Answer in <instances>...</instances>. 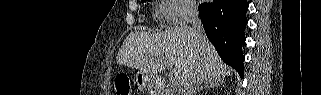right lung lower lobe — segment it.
<instances>
[{
	"mask_svg": "<svg viewBox=\"0 0 321 95\" xmlns=\"http://www.w3.org/2000/svg\"><path fill=\"white\" fill-rule=\"evenodd\" d=\"M247 9V0H214L199 7V16L208 39L221 59L236 69L241 77L244 72L242 44L245 41Z\"/></svg>",
	"mask_w": 321,
	"mask_h": 95,
	"instance_id": "right-lung-lower-lobe-1",
	"label": "right lung lower lobe"
}]
</instances>
